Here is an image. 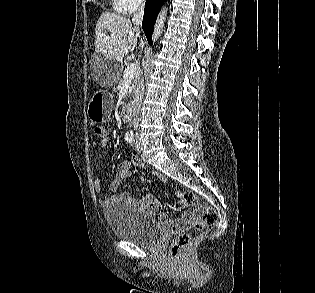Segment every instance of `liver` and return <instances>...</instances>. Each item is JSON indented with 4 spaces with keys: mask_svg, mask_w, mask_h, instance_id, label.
Returning <instances> with one entry per match:
<instances>
[{
    "mask_svg": "<svg viewBox=\"0 0 315 293\" xmlns=\"http://www.w3.org/2000/svg\"><path fill=\"white\" fill-rule=\"evenodd\" d=\"M139 36V30L132 27L129 19L114 13L103 12L95 29V53L120 62L125 55L135 49ZM140 46H144L142 41Z\"/></svg>",
    "mask_w": 315,
    "mask_h": 293,
    "instance_id": "obj_1",
    "label": "liver"
}]
</instances>
